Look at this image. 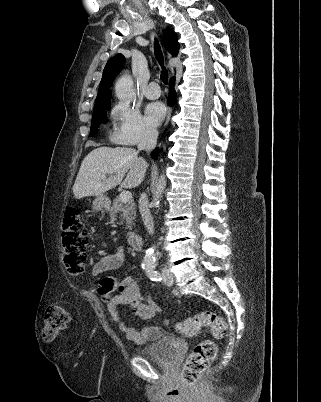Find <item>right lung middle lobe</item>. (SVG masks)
<instances>
[{
  "label": "right lung middle lobe",
  "mask_w": 321,
  "mask_h": 402,
  "mask_svg": "<svg viewBox=\"0 0 321 402\" xmlns=\"http://www.w3.org/2000/svg\"><path fill=\"white\" fill-rule=\"evenodd\" d=\"M110 109V104L98 108H94L92 123H91V136L95 135L98 131V126L101 123L107 122L106 110Z\"/></svg>",
  "instance_id": "1"
}]
</instances>
